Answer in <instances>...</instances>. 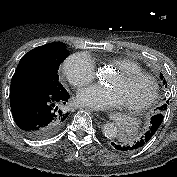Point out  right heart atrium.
<instances>
[{"label":"right heart atrium","instance_id":"right-heart-atrium-1","mask_svg":"<svg viewBox=\"0 0 177 177\" xmlns=\"http://www.w3.org/2000/svg\"><path fill=\"white\" fill-rule=\"evenodd\" d=\"M62 71L69 83L76 88L91 83L96 75L94 62L86 53L68 56L63 62Z\"/></svg>","mask_w":177,"mask_h":177}]
</instances>
